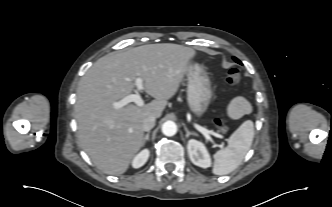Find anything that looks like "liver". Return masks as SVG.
Listing matches in <instances>:
<instances>
[{"instance_id":"1","label":"liver","mask_w":332,"mask_h":207,"mask_svg":"<svg viewBox=\"0 0 332 207\" xmlns=\"http://www.w3.org/2000/svg\"><path fill=\"white\" fill-rule=\"evenodd\" d=\"M195 55L178 44L143 45L107 54L86 72L77 88L75 119L80 145L97 168L110 175L127 171L144 145L143 120L162 115ZM136 78L155 99L142 107L114 108L134 91Z\"/></svg>"}]
</instances>
